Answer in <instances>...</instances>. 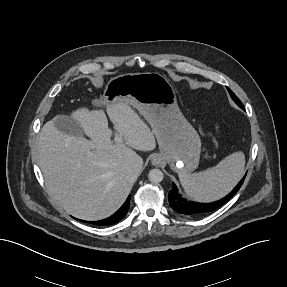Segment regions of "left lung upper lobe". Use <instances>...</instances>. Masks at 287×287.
Returning <instances> with one entry per match:
<instances>
[{"mask_svg":"<svg viewBox=\"0 0 287 287\" xmlns=\"http://www.w3.org/2000/svg\"><path fill=\"white\" fill-rule=\"evenodd\" d=\"M227 89H228V92H229L230 96L232 97V99L236 102V104L238 106H240L243 109V105H242L241 101L238 99V97L229 88H227Z\"/></svg>","mask_w":287,"mask_h":287,"instance_id":"left-lung-upper-lobe-1","label":"left lung upper lobe"}]
</instances>
